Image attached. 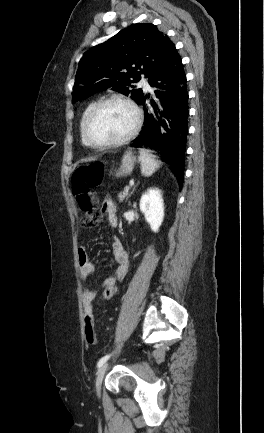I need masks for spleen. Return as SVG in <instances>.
<instances>
[{
	"mask_svg": "<svg viewBox=\"0 0 264 433\" xmlns=\"http://www.w3.org/2000/svg\"><path fill=\"white\" fill-rule=\"evenodd\" d=\"M139 161L141 162V173L145 177L151 176L160 167V162L155 159L151 151L146 149L139 150Z\"/></svg>",
	"mask_w": 264,
	"mask_h": 433,
	"instance_id": "1",
	"label": "spleen"
}]
</instances>
